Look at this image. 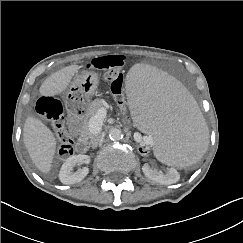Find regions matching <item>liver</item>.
<instances>
[{"label":"liver","instance_id":"1","mask_svg":"<svg viewBox=\"0 0 243 243\" xmlns=\"http://www.w3.org/2000/svg\"><path fill=\"white\" fill-rule=\"evenodd\" d=\"M80 66H67L50 75L40 86L42 96H55L63 93ZM23 141L35 166L44 174L51 170L56 152V139L52 131L39 119L28 116L23 129Z\"/></svg>","mask_w":243,"mask_h":243}]
</instances>
